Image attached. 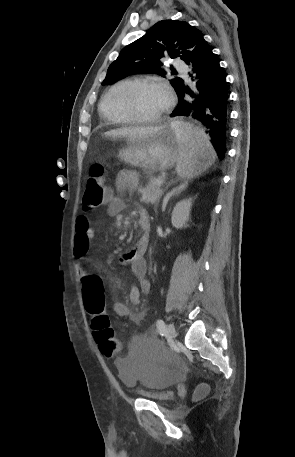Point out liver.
<instances>
[{
  "label": "liver",
  "mask_w": 295,
  "mask_h": 457,
  "mask_svg": "<svg viewBox=\"0 0 295 457\" xmlns=\"http://www.w3.org/2000/svg\"><path fill=\"white\" fill-rule=\"evenodd\" d=\"M162 126H148V127H124L119 129L110 130L104 133L105 137L111 138H126L128 141L144 140L149 136L157 133Z\"/></svg>",
  "instance_id": "obj_1"
}]
</instances>
